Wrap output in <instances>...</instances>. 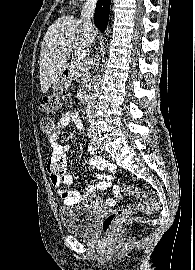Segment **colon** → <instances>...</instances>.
<instances>
[{
    "label": "colon",
    "instance_id": "1",
    "mask_svg": "<svg viewBox=\"0 0 195 270\" xmlns=\"http://www.w3.org/2000/svg\"><path fill=\"white\" fill-rule=\"evenodd\" d=\"M60 107V99L58 96H46L41 105V109L49 116L44 117L40 121V129L45 135H52L55 130V121L51 117L56 114ZM120 191L125 195H133L136 194L138 196L142 195V192L139 188L133 186H122ZM158 202L154 199H143L138 202L135 206H125L121 207L109 215H107L102 221V231L105 234H110L116 225L124 220L125 218L132 215L135 211L145 212V213H153L158 210Z\"/></svg>",
    "mask_w": 195,
    "mask_h": 270
}]
</instances>
